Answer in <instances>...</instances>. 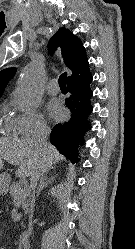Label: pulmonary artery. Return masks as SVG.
<instances>
[{"instance_id":"obj_1","label":"pulmonary artery","mask_w":135,"mask_h":249,"mask_svg":"<svg viewBox=\"0 0 135 249\" xmlns=\"http://www.w3.org/2000/svg\"><path fill=\"white\" fill-rule=\"evenodd\" d=\"M59 91H60V87L56 80H52L51 82H49V84L47 85V92L50 95H57Z\"/></svg>"}]
</instances>
